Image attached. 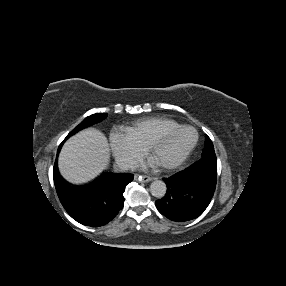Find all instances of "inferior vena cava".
<instances>
[{"label": "inferior vena cava", "instance_id": "602c4592", "mask_svg": "<svg viewBox=\"0 0 286 286\" xmlns=\"http://www.w3.org/2000/svg\"><path fill=\"white\" fill-rule=\"evenodd\" d=\"M116 166L121 171H126V170L134 168L133 162H131L130 160H127L125 158H117L116 159Z\"/></svg>", "mask_w": 286, "mask_h": 286}]
</instances>
